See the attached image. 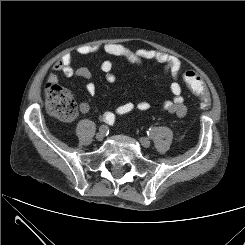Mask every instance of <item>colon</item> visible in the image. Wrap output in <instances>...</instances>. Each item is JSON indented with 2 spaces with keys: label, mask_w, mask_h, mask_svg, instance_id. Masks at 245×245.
<instances>
[{
  "label": "colon",
  "mask_w": 245,
  "mask_h": 245,
  "mask_svg": "<svg viewBox=\"0 0 245 245\" xmlns=\"http://www.w3.org/2000/svg\"><path fill=\"white\" fill-rule=\"evenodd\" d=\"M184 80L190 90L197 95L202 106L209 105V92L202 77L193 70L184 73ZM48 111L64 121L73 120L78 114V107L71 93L64 87L50 83L46 89Z\"/></svg>",
  "instance_id": "colon-1"
}]
</instances>
